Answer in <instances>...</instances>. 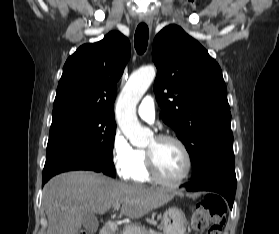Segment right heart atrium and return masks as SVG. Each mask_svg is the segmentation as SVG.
<instances>
[{
    "label": "right heart atrium",
    "instance_id": "1",
    "mask_svg": "<svg viewBox=\"0 0 279 234\" xmlns=\"http://www.w3.org/2000/svg\"><path fill=\"white\" fill-rule=\"evenodd\" d=\"M135 149L120 129L115 130L111 140V158L116 173L124 179L128 178L134 162Z\"/></svg>",
    "mask_w": 279,
    "mask_h": 234
}]
</instances>
